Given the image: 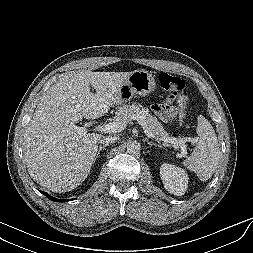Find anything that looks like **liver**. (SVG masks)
<instances>
[{
  "mask_svg": "<svg viewBox=\"0 0 253 253\" xmlns=\"http://www.w3.org/2000/svg\"><path fill=\"white\" fill-rule=\"evenodd\" d=\"M131 73L82 70L66 74L50 87L24 132V157L33 180L62 193L88 177L102 135H79L75 123L105 115Z\"/></svg>",
  "mask_w": 253,
  "mask_h": 253,
  "instance_id": "obj_1",
  "label": "liver"
}]
</instances>
